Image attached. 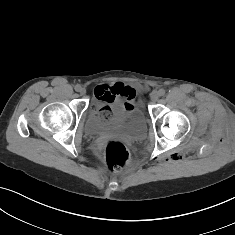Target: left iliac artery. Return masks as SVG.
<instances>
[{"label": "left iliac artery", "instance_id": "obj_1", "mask_svg": "<svg viewBox=\"0 0 235 235\" xmlns=\"http://www.w3.org/2000/svg\"><path fill=\"white\" fill-rule=\"evenodd\" d=\"M158 93H159V96H164L165 95V90L164 89H160L158 91Z\"/></svg>", "mask_w": 235, "mask_h": 235}]
</instances>
